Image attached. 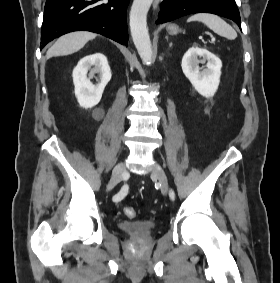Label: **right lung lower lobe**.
<instances>
[{
  "label": "right lung lower lobe",
  "instance_id": "obj_1",
  "mask_svg": "<svg viewBox=\"0 0 280 283\" xmlns=\"http://www.w3.org/2000/svg\"><path fill=\"white\" fill-rule=\"evenodd\" d=\"M130 0H47L41 29L42 49L63 34L86 30L128 45L126 11Z\"/></svg>",
  "mask_w": 280,
  "mask_h": 283
}]
</instances>
